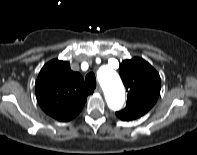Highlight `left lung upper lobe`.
Here are the masks:
<instances>
[{
  "label": "left lung upper lobe",
  "mask_w": 197,
  "mask_h": 155,
  "mask_svg": "<svg viewBox=\"0 0 197 155\" xmlns=\"http://www.w3.org/2000/svg\"><path fill=\"white\" fill-rule=\"evenodd\" d=\"M119 73L128 98L126 108L116 112V115L124 121L137 119L156 103L161 89L160 76L148 62L138 57L124 60Z\"/></svg>",
  "instance_id": "left-lung-upper-lobe-1"
}]
</instances>
